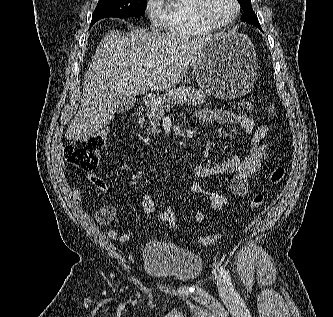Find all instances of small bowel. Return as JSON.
<instances>
[{"label":"small bowel","instance_id":"c3829d8e","mask_svg":"<svg viewBox=\"0 0 333 317\" xmlns=\"http://www.w3.org/2000/svg\"><path fill=\"white\" fill-rule=\"evenodd\" d=\"M195 116L202 123L237 125L250 138V146L246 154L234 153L223 157L215 165H196L193 169L194 181L190 186L191 193L205 196L210 207L219 212L229 204L228 196L207 190L201 181L213 176H228L229 191L235 197H246L250 192V178L261 169L268 158V147L265 139L269 130L266 125H256L251 117L227 109H201L196 112ZM89 181L98 190L105 191L107 189L104 181L95 173L89 176ZM70 194L74 201L80 202L82 200V193L78 189H71ZM140 208L146 222L157 209L149 195L142 197ZM115 215L116 210L113 206H104L95 212L94 218L99 225H108L113 221ZM205 219L203 211H197L194 215V220L198 224L203 223ZM136 235V232L121 233L118 229H110L107 232V236L111 240L119 242L130 241Z\"/></svg>","mask_w":333,"mask_h":317}]
</instances>
